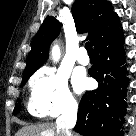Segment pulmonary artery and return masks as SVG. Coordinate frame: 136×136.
<instances>
[{
	"instance_id": "e3ab8cb5",
	"label": "pulmonary artery",
	"mask_w": 136,
	"mask_h": 136,
	"mask_svg": "<svg viewBox=\"0 0 136 136\" xmlns=\"http://www.w3.org/2000/svg\"><path fill=\"white\" fill-rule=\"evenodd\" d=\"M77 60L82 65H88L89 64V57L87 55V52L85 48H80L77 55Z\"/></svg>"
}]
</instances>
